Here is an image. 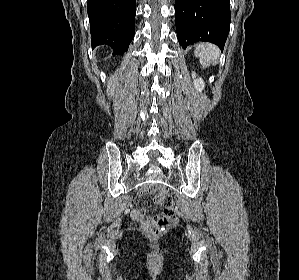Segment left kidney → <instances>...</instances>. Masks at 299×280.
Masks as SVG:
<instances>
[{
    "instance_id": "1",
    "label": "left kidney",
    "mask_w": 299,
    "mask_h": 280,
    "mask_svg": "<svg viewBox=\"0 0 299 280\" xmlns=\"http://www.w3.org/2000/svg\"><path fill=\"white\" fill-rule=\"evenodd\" d=\"M192 77L195 78V80H194V85H195L196 90H198V91H202V89H203L204 86H205V83H204V81L202 80V78H198V79H196V73H195V72H192Z\"/></svg>"
}]
</instances>
